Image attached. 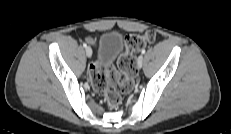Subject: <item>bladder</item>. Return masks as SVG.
Masks as SVG:
<instances>
[{
  "mask_svg": "<svg viewBox=\"0 0 231 134\" xmlns=\"http://www.w3.org/2000/svg\"><path fill=\"white\" fill-rule=\"evenodd\" d=\"M123 48L122 35L117 31L105 32L98 42L97 62L100 67L108 68Z\"/></svg>",
  "mask_w": 231,
  "mask_h": 134,
  "instance_id": "bladder-1",
  "label": "bladder"
}]
</instances>
